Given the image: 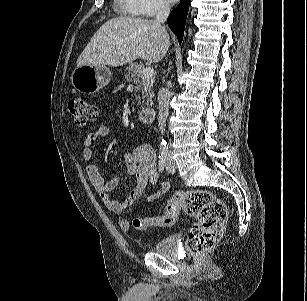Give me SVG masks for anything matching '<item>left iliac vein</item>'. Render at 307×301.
Wrapping results in <instances>:
<instances>
[{"label": "left iliac vein", "mask_w": 307, "mask_h": 301, "mask_svg": "<svg viewBox=\"0 0 307 301\" xmlns=\"http://www.w3.org/2000/svg\"><path fill=\"white\" fill-rule=\"evenodd\" d=\"M176 163L175 161L173 160L172 158V155L171 153L168 154V157H167V166H166V169L169 173H174L176 171Z\"/></svg>", "instance_id": "left-iliac-vein-1"}]
</instances>
